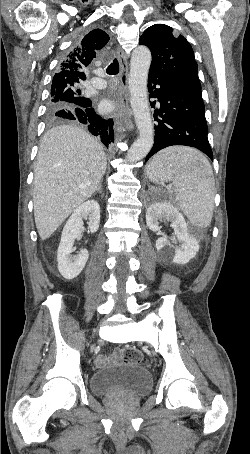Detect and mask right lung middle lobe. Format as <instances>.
Returning <instances> with one entry per match:
<instances>
[{"label": "right lung middle lobe", "mask_w": 250, "mask_h": 454, "mask_svg": "<svg viewBox=\"0 0 250 454\" xmlns=\"http://www.w3.org/2000/svg\"><path fill=\"white\" fill-rule=\"evenodd\" d=\"M89 98L81 95L77 84L52 85L47 105V119L49 122H57L63 118L56 112L63 108L72 109L77 105L88 102Z\"/></svg>", "instance_id": "1"}]
</instances>
